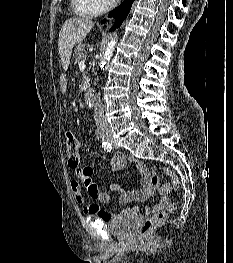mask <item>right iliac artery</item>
<instances>
[{
  "label": "right iliac artery",
  "mask_w": 233,
  "mask_h": 263,
  "mask_svg": "<svg viewBox=\"0 0 233 263\" xmlns=\"http://www.w3.org/2000/svg\"><path fill=\"white\" fill-rule=\"evenodd\" d=\"M102 148L103 150H105L106 152H111L112 150V145L108 142H103L102 143Z\"/></svg>",
  "instance_id": "1"
}]
</instances>
